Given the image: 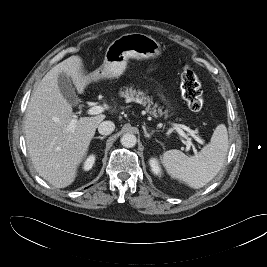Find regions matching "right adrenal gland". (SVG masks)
<instances>
[{"mask_svg":"<svg viewBox=\"0 0 267 267\" xmlns=\"http://www.w3.org/2000/svg\"><path fill=\"white\" fill-rule=\"evenodd\" d=\"M106 136H97V137H94V139H100V140H103Z\"/></svg>","mask_w":267,"mask_h":267,"instance_id":"2a0ac1e0","label":"right adrenal gland"}]
</instances>
